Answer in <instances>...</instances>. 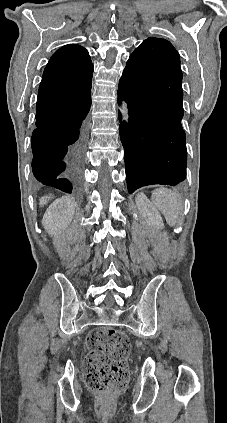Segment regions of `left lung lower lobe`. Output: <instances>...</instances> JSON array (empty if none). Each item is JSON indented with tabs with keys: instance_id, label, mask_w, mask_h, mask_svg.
Listing matches in <instances>:
<instances>
[{
	"instance_id": "obj_1",
	"label": "left lung lower lobe",
	"mask_w": 227,
	"mask_h": 423,
	"mask_svg": "<svg viewBox=\"0 0 227 423\" xmlns=\"http://www.w3.org/2000/svg\"><path fill=\"white\" fill-rule=\"evenodd\" d=\"M129 106V123L120 124L129 193L151 184L177 185L186 177L183 112H167L153 101V92L120 79L118 101Z\"/></svg>"
}]
</instances>
